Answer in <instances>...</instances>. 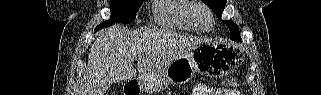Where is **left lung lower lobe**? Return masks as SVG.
I'll list each match as a JSON object with an SVG mask.
<instances>
[{
	"mask_svg": "<svg viewBox=\"0 0 321 95\" xmlns=\"http://www.w3.org/2000/svg\"><path fill=\"white\" fill-rule=\"evenodd\" d=\"M241 39L239 38V39H237V40H234V41H240Z\"/></svg>",
	"mask_w": 321,
	"mask_h": 95,
	"instance_id": "left-lung-lower-lobe-1",
	"label": "left lung lower lobe"
}]
</instances>
